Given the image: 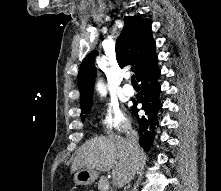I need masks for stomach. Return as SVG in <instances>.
I'll return each mask as SVG.
<instances>
[{
    "label": "stomach",
    "mask_w": 221,
    "mask_h": 191,
    "mask_svg": "<svg viewBox=\"0 0 221 191\" xmlns=\"http://www.w3.org/2000/svg\"><path fill=\"white\" fill-rule=\"evenodd\" d=\"M98 173L95 170L82 168L77 170L74 175V181L77 185H90L98 178Z\"/></svg>",
    "instance_id": "0dacf381"
}]
</instances>
